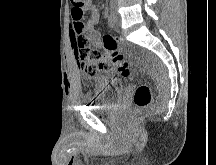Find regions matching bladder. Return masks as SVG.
<instances>
[{"instance_id":"1","label":"bladder","mask_w":216,"mask_h":165,"mask_svg":"<svg viewBox=\"0 0 216 165\" xmlns=\"http://www.w3.org/2000/svg\"><path fill=\"white\" fill-rule=\"evenodd\" d=\"M88 90V106L92 111H111L112 103H117L119 97H124L120 89L123 85L122 76H93V81H85Z\"/></svg>"}]
</instances>
